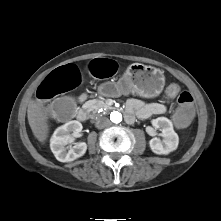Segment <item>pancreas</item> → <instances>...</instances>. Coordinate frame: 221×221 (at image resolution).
Here are the masks:
<instances>
[{
    "instance_id": "1",
    "label": "pancreas",
    "mask_w": 221,
    "mask_h": 221,
    "mask_svg": "<svg viewBox=\"0 0 221 221\" xmlns=\"http://www.w3.org/2000/svg\"><path fill=\"white\" fill-rule=\"evenodd\" d=\"M85 108L89 112L92 111L93 113H96L100 108H103V109L107 108V105L103 100L93 99V100H89L88 102H86Z\"/></svg>"
}]
</instances>
